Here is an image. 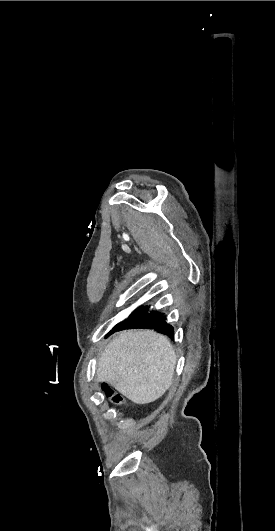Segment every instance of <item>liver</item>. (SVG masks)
Here are the masks:
<instances>
[{"label": "liver", "mask_w": 275, "mask_h": 531, "mask_svg": "<svg viewBox=\"0 0 275 531\" xmlns=\"http://www.w3.org/2000/svg\"><path fill=\"white\" fill-rule=\"evenodd\" d=\"M176 361L164 335L149 329L122 331L101 353L97 381L109 383L136 405H147L171 387Z\"/></svg>", "instance_id": "obj_1"}]
</instances>
